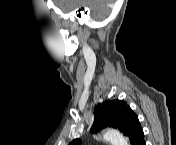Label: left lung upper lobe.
<instances>
[{
    "mask_svg": "<svg viewBox=\"0 0 176 145\" xmlns=\"http://www.w3.org/2000/svg\"><path fill=\"white\" fill-rule=\"evenodd\" d=\"M107 126L117 128L123 132L125 136L129 137L132 145L143 132L136 114L126 102L119 99L105 101L95 108L91 133H96ZM79 144V139H75L70 143V145Z\"/></svg>",
    "mask_w": 176,
    "mask_h": 145,
    "instance_id": "5c2ea615",
    "label": "left lung upper lobe"
}]
</instances>
